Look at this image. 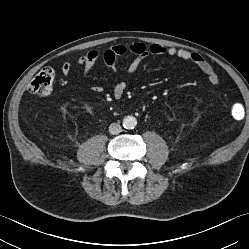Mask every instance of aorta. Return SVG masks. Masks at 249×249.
I'll use <instances>...</instances> for the list:
<instances>
[{"label": "aorta", "instance_id": "aorta-1", "mask_svg": "<svg viewBox=\"0 0 249 249\" xmlns=\"http://www.w3.org/2000/svg\"><path fill=\"white\" fill-rule=\"evenodd\" d=\"M137 125V119L134 116H126L123 119V126L126 129H133Z\"/></svg>", "mask_w": 249, "mask_h": 249}]
</instances>
